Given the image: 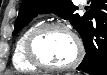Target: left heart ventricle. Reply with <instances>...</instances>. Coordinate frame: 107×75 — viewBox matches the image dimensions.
Listing matches in <instances>:
<instances>
[{
    "label": "left heart ventricle",
    "mask_w": 107,
    "mask_h": 75,
    "mask_svg": "<svg viewBox=\"0 0 107 75\" xmlns=\"http://www.w3.org/2000/svg\"><path fill=\"white\" fill-rule=\"evenodd\" d=\"M39 56L52 65L70 63L76 53L72 38L60 30H51L43 34L36 43Z\"/></svg>",
    "instance_id": "b2bd125f"
}]
</instances>
